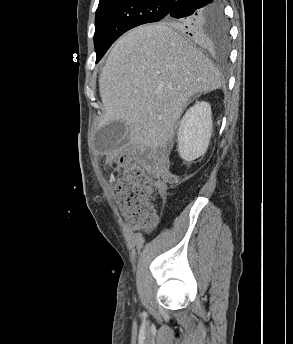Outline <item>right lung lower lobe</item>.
I'll use <instances>...</instances> for the list:
<instances>
[{
	"label": "right lung lower lobe",
	"instance_id": "right-lung-lower-lobe-1",
	"mask_svg": "<svg viewBox=\"0 0 293 344\" xmlns=\"http://www.w3.org/2000/svg\"><path fill=\"white\" fill-rule=\"evenodd\" d=\"M220 0H175L168 14L172 19H185L183 31L193 40L204 44L203 39L206 27L200 24L198 16L209 14L214 11Z\"/></svg>",
	"mask_w": 293,
	"mask_h": 344
}]
</instances>
